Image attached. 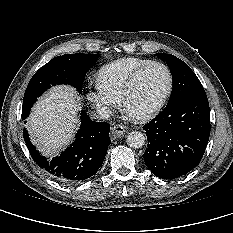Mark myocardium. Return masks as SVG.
I'll list each match as a JSON object with an SVG mask.
<instances>
[{"mask_svg": "<svg viewBox=\"0 0 233 233\" xmlns=\"http://www.w3.org/2000/svg\"><path fill=\"white\" fill-rule=\"evenodd\" d=\"M152 66H160V67L165 69V71L167 72V75H168V87H167L164 95L161 97V99L151 109H149L146 112H143L141 114H137V115L130 114L132 116V118H134L137 121H146V120H149V119L153 118L154 116H156L161 111L163 106L166 104L167 100L169 99V97L173 91L174 76H173V73H172L171 69L169 68V66L163 62L152 61V62L140 67L131 76V78L128 80V82L124 86V88L121 92V95H120V103H121L123 110L127 112V110H126L127 97L129 96L131 91L135 88V86L137 85V83L140 80L143 73Z\"/></svg>", "mask_w": 233, "mask_h": 233, "instance_id": "1", "label": "myocardium"}]
</instances>
